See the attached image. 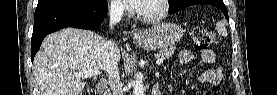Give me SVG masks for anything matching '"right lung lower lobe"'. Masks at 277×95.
I'll list each match as a JSON object with an SVG mask.
<instances>
[{
  "mask_svg": "<svg viewBox=\"0 0 277 95\" xmlns=\"http://www.w3.org/2000/svg\"><path fill=\"white\" fill-rule=\"evenodd\" d=\"M108 11L107 0L90 4H59L37 7L31 39V59L46 35L66 27L97 29Z\"/></svg>",
  "mask_w": 277,
  "mask_h": 95,
  "instance_id": "98d812e1",
  "label": "right lung lower lobe"
}]
</instances>
